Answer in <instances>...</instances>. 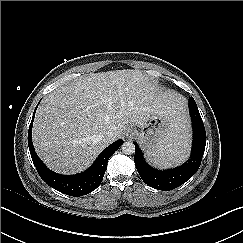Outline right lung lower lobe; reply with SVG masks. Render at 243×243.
<instances>
[{"label":"right lung lower lobe","mask_w":243,"mask_h":243,"mask_svg":"<svg viewBox=\"0 0 243 243\" xmlns=\"http://www.w3.org/2000/svg\"><path fill=\"white\" fill-rule=\"evenodd\" d=\"M36 111V109H35ZM28 131V146L32 161L37 169L39 176L52 188L70 196H83L95 190L102 182L110 156L122 145L123 141L118 140L105 148L98 156L94 164L85 172L76 175H61L48 169L38 158L32 143V125Z\"/></svg>","instance_id":"98d812e1"}]
</instances>
